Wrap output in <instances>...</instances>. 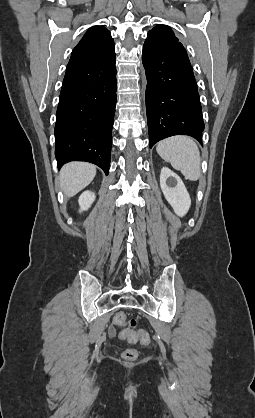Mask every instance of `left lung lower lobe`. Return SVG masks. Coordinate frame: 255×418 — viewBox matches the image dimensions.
Masks as SVG:
<instances>
[{
  "label": "left lung lower lobe",
  "instance_id": "1",
  "mask_svg": "<svg viewBox=\"0 0 255 418\" xmlns=\"http://www.w3.org/2000/svg\"><path fill=\"white\" fill-rule=\"evenodd\" d=\"M146 112L150 148L166 137L184 134L200 143L204 130L198 88L182 44L159 46L145 41Z\"/></svg>",
  "mask_w": 255,
  "mask_h": 418
}]
</instances>
